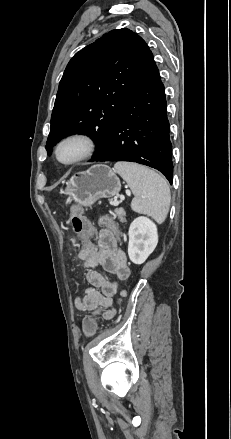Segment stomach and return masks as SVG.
Masks as SVG:
<instances>
[{"label":"stomach","instance_id":"stomach-1","mask_svg":"<svg viewBox=\"0 0 231 439\" xmlns=\"http://www.w3.org/2000/svg\"><path fill=\"white\" fill-rule=\"evenodd\" d=\"M121 182L116 173L106 165H95L87 171L73 175L61 193L84 207L92 206L101 198H112L119 194Z\"/></svg>","mask_w":231,"mask_h":439}]
</instances>
